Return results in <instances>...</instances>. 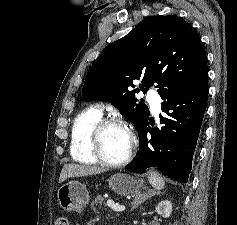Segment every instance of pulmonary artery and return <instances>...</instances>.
Listing matches in <instances>:
<instances>
[{
	"mask_svg": "<svg viewBox=\"0 0 237 225\" xmlns=\"http://www.w3.org/2000/svg\"><path fill=\"white\" fill-rule=\"evenodd\" d=\"M147 99L154 113H158L160 110V99L158 94L156 92H150L147 95Z\"/></svg>",
	"mask_w": 237,
	"mask_h": 225,
	"instance_id": "pulmonary-artery-1",
	"label": "pulmonary artery"
}]
</instances>
